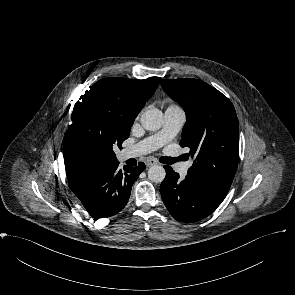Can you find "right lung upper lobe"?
<instances>
[{
	"instance_id": "obj_1",
	"label": "right lung upper lobe",
	"mask_w": 295,
	"mask_h": 295,
	"mask_svg": "<svg viewBox=\"0 0 295 295\" xmlns=\"http://www.w3.org/2000/svg\"><path fill=\"white\" fill-rule=\"evenodd\" d=\"M126 80L128 89L134 95L137 103L143 108L145 102L148 101L157 89L161 78L151 77L144 80ZM63 156L70 189L92 168L113 163L74 139L68 130L63 140Z\"/></svg>"
}]
</instances>
